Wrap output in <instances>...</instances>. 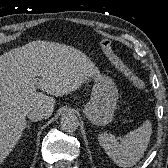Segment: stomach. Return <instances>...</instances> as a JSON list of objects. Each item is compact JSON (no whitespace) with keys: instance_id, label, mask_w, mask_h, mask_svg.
Segmentation results:
<instances>
[{"instance_id":"obj_1","label":"stomach","mask_w":168,"mask_h":168,"mask_svg":"<svg viewBox=\"0 0 168 168\" xmlns=\"http://www.w3.org/2000/svg\"><path fill=\"white\" fill-rule=\"evenodd\" d=\"M118 90L109 77L96 76L90 101L84 106L83 113L95 125L105 126L114 116Z\"/></svg>"}]
</instances>
